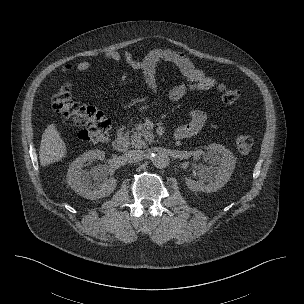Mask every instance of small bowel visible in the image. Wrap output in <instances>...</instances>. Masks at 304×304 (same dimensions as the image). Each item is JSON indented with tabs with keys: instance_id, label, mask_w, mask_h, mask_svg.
<instances>
[{
	"instance_id": "c3829d8e",
	"label": "small bowel",
	"mask_w": 304,
	"mask_h": 304,
	"mask_svg": "<svg viewBox=\"0 0 304 304\" xmlns=\"http://www.w3.org/2000/svg\"><path fill=\"white\" fill-rule=\"evenodd\" d=\"M104 57L114 62L124 60L133 68L141 70L145 75L154 73L156 67L162 62L173 64L186 80L185 84H180L170 90L169 97L173 101L182 99L188 90H210L217 83L215 78L208 76L202 69L197 68L185 54L171 49H153L142 60H139L130 52L121 54L117 51H111L106 53ZM92 65L91 61L85 60L78 63L75 70L83 72L90 69ZM67 68L70 69L71 67ZM189 116L190 122L177 129L184 138L197 134L207 119L206 113L197 108L190 110Z\"/></svg>"
}]
</instances>
